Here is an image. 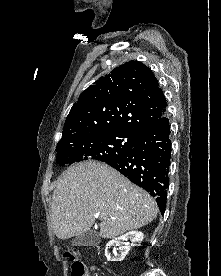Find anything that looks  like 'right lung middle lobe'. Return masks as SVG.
<instances>
[{
    "label": "right lung middle lobe",
    "instance_id": "dd1d6c3e",
    "mask_svg": "<svg viewBox=\"0 0 221 276\" xmlns=\"http://www.w3.org/2000/svg\"><path fill=\"white\" fill-rule=\"evenodd\" d=\"M135 136L123 132L93 134L84 139L67 140L56 146L59 165L88 159L106 162L130 150Z\"/></svg>",
    "mask_w": 221,
    "mask_h": 276
}]
</instances>
